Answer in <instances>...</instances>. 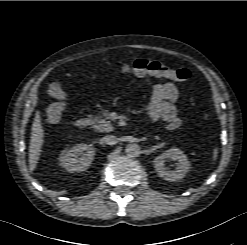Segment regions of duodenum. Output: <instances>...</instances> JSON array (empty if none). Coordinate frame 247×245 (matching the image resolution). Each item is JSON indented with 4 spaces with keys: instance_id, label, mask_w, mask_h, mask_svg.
Here are the masks:
<instances>
[{
    "instance_id": "duodenum-1",
    "label": "duodenum",
    "mask_w": 247,
    "mask_h": 245,
    "mask_svg": "<svg viewBox=\"0 0 247 245\" xmlns=\"http://www.w3.org/2000/svg\"><path fill=\"white\" fill-rule=\"evenodd\" d=\"M75 125L79 129H86L90 125V119L87 117L78 118L75 122Z\"/></svg>"
}]
</instances>
